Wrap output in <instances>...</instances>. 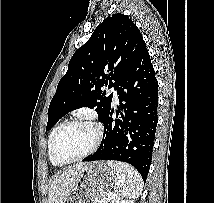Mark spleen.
<instances>
[{
    "instance_id": "obj_1",
    "label": "spleen",
    "mask_w": 214,
    "mask_h": 203,
    "mask_svg": "<svg viewBox=\"0 0 214 203\" xmlns=\"http://www.w3.org/2000/svg\"><path fill=\"white\" fill-rule=\"evenodd\" d=\"M107 165L110 166L116 177L115 185L118 188L117 201L121 198H138L141 195L143 189V181L140 174L130 165L108 161Z\"/></svg>"
}]
</instances>
